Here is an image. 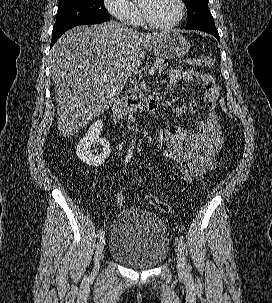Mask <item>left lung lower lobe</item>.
<instances>
[{
    "instance_id": "left-lung-lower-lobe-1",
    "label": "left lung lower lobe",
    "mask_w": 272,
    "mask_h": 303,
    "mask_svg": "<svg viewBox=\"0 0 272 303\" xmlns=\"http://www.w3.org/2000/svg\"><path fill=\"white\" fill-rule=\"evenodd\" d=\"M196 30H201V31L207 32L209 34H212L220 42L219 34H218V31H217V29H216L215 26H212V27H202V28H198Z\"/></svg>"
}]
</instances>
